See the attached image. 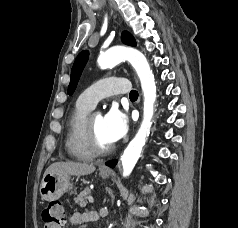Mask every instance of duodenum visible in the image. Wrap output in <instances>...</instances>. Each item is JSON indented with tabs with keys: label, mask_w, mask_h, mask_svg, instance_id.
<instances>
[{
	"label": "duodenum",
	"mask_w": 238,
	"mask_h": 228,
	"mask_svg": "<svg viewBox=\"0 0 238 228\" xmlns=\"http://www.w3.org/2000/svg\"><path fill=\"white\" fill-rule=\"evenodd\" d=\"M86 217L88 220H97L98 219V213L95 211H91L86 213Z\"/></svg>",
	"instance_id": "duodenum-1"
}]
</instances>
